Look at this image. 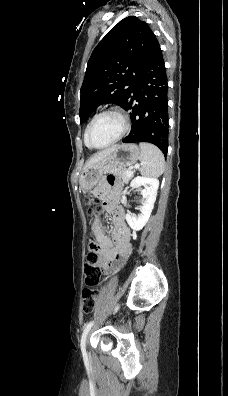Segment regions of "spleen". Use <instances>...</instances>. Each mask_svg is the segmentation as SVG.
Returning a JSON list of instances; mask_svg holds the SVG:
<instances>
[{
	"label": "spleen",
	"mask_w": 228,
	"mask_h": 396,
	"mask_svg": "<svg viewBox=\"0 0 228 396\" xmlns=\"http://www.w3.org/2000/svg\"><path fill=\"white\" fill-rule=\"evenodd\" d=\"M140 173L146 177H159L164 172L165 160L161 150L150 143H140Z\"/></svg>",
	"instance_id": "3e777b00"
}]
</instances>
